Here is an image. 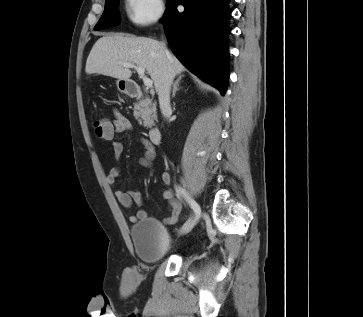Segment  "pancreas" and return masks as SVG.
Masks as SVG:
<instances>
[{
    "mask_svg": "<svg viewBox=\"0 0 363 317\" xmlns=\"http://www.w3.org/2000/svg\"><path fill=\"white\" fill-rule=\"evenodd\" d=\"M134 117L143 120L144 127L151 128L154 126V120L157 119L155 107H151L149 98L143 99L134 104ZM141 119L138 121L141 122Z\"/></svg>",
    "mask_w": 363,
    "mask_h": 317,
    "instance_id": "obj_1",
    "label": "pancreas"
}]
</instances>
